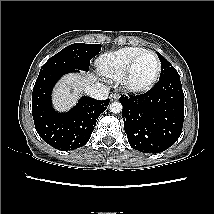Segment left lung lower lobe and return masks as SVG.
Masks as SVG:
<instances>
[{"mask_svg": "<svg viewBox=\"0 0 214 214\" xmlns=\"http://www.w3.org/2000/svg\"><path fill=\"white\" fill-rule=\"evenodd\" d=\"M124 129L132 148L159 153L171 147L182 132L184 93L179 76L159 79L148 92L121 96Z\"/></svg>", "mask_w": 214, "mask_h": 214, "instance_id": "obj_1", "label": "left lung lower lobe"}]
</instances>
